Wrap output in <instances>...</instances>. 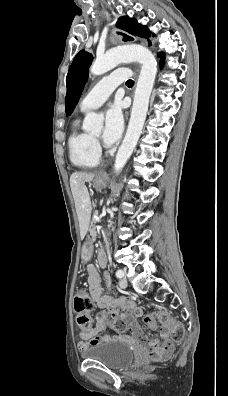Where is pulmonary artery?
Here are the masks:
<instances>
[{"instance_id":"pulmonary-artery-1","label":"pulmonary artery","mask_w":228,"mask_h":396,"mask_svg":"<svg viewBox=\"0 0 228 396\" xmlns=\"http://www.w3.org/2000/svg\"><path fill=\"white\" fill-rule=\"evenodd\" d=\"M131 75L125 68L118 69L101 79L83 98L80 110L87 111L100 107L111 95L114 89Z\"/></svg>"}]
</instances>
